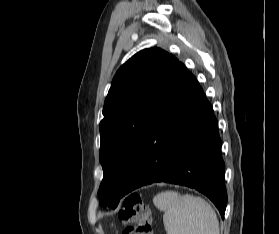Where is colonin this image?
<instances>
[{"label": "colon", "instance_id": "obj_1", "mask_svg": "<svg viewBox=\"0 0 279 234\" xmlns=\"http://www.w3.org/2000/svg\"><path fill=\"white\" fill-rule=\"evenodd\" d=\"M122 234H152L150 212L139 195H130L119 213Z\"/></svg>", "mask_w": 279, "mask_h": 234}]
</instances>
